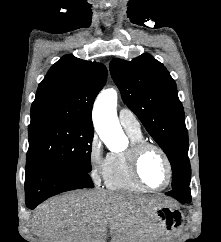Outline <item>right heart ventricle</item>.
I'll use <instances>...</instances> for the list:
<instances>
[{
  "instance_id": "right-heart-ventricle-1",
  "label": "right heart ventricle",
  "mask_w": 221,
  "mask_h": 242,
  "mask_svg": "<svg viewBox=\"0 0 221 242\" xmlns=\"http://www.w3.org/2000/svg\"><path fill=\"white\" fill-rule=\"evenodd\" d=\"M126 131L130 137L131 145L143 141L141 131L133 132L127 129ZM129 148L120 152H111L107 155L103 179L108 189L143 192L145 189L134 180L131 174Z\"/></svg>"
}]
</instances>
